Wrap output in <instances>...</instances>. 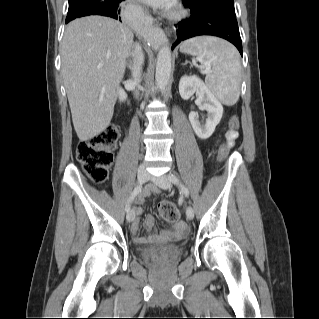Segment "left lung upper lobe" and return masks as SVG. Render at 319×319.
Returning a JSON list of instances; mask_svg holds the SVG:
<instances>
[{
  "mask_svg": "<svg viewBox=\"0 0 319 319\" xmlns=\"http://www.w3.org/2000/svg\"><path fill=\"white\" fill-rule=\"evenodd\" d=\"M184 6L197 11H215L235 17L233 0H182Z\"/></svg>",
  "mask_w": 319,
  "mask_h": 319,
  "instance_id": "1",
  "label": "left lung upper lobe"
}]
</instances>
